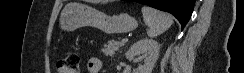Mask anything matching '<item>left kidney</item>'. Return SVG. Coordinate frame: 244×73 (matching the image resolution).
<instances>
[{
	"label": "left kidney",
	"mask_w": 244,
	"mask_h": 73,
	"mask_svg": "<svg viewBox=\"0 0 244 73\" xmlns=\"http://www.w3.org/2000/svg\"><path fill=\"white\" fill-rule=\"evenodd\" d=\"M160 45L153 39H141L134 43L126 53V58L133 62H140L145 54L143 64H139L134 73H152L159 57Z\"/></svg>",
	"instance_id": "1"
}]
</instances>
